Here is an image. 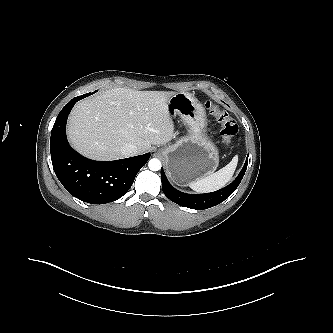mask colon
Here are the masks:
<instances>
[{
  "instance_id": "1",
  "label": "colon",
  "mask_w": 333,
  "mask_h": 333,
  "mask_svg": "<svg viewBox=\"0 0 333 333\" xmlns=\"http://www.w3.org/2000/svg\"><path fill=\"white\" fill-rule=\"evenodd\" d=\"M205 107L221 124L220 132L223 139V145L225 148H229L232 138L238 133L239 130L237 123L228 115L226 111L221 110L220 107L214 102L206 101Z\"/></svg>"
}]
</instances>
